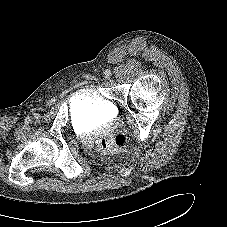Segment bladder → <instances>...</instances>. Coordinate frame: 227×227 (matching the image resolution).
Listing matches in <instances>:
<instances>
[{"instance_id": "bladder-1", "label": "bladder", "mask_w": 227, "mask_h": 227, "mask_svg": "<svg viewBox=\"0 0 227 227\" xmlns=\"http://www.w3.org/2000/svg\"><path fill=\"white\" fill-rule=\"evenodd\" d=\"M71 116L80 131L91 124L107 123L117 115L114 102L87 86L78 91L70 105Z\"/></svg>"}]
</instances>
